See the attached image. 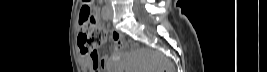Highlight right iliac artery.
<instances>
[{
  "label": "right iliac artery",
  "instance_id": "82829eb1",
  "mask_svg": "<svg viewBox=\"0 0 267 72\" xmlns=\"http://www.w3.org/2000/svg\"><path fill=\"white\" fill-rule=\"evenodd\" d=\"M102 16L105 20L109 19V9L107 6H104L102 9Z\"/></svg>",
  "mask_w": 267,
  "mask_h": 72
}]
</instances>
